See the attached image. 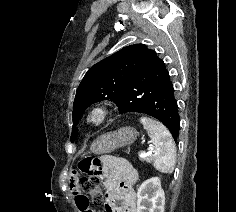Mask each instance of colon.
I'll list each match as a JSON object with an SVG mask.
<instances>
[{"mask_svg": "<svg viewBox=\"0 0 236 212\" xmlns=\"http://www.w3.org/2000/svg\"><path fill=\"white\" fill-rule=\"evenodd\" d=\"M80 169L87 171V175L80 180L81 190L89 195L94 203L102 204L104 201L103 181L100 173L96 170L95 163L91 159H85L81 161Z\"/></svg>", "mask_w": 236, "mask_h": 212, "instance_id": "colon-1", "label": "colon"}]
</instances>
